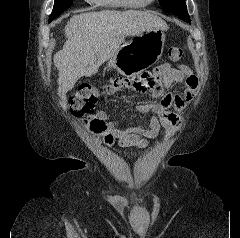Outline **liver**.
Here are the masks:
<instances>
[{
  "mask_svg": "<svg viewBox=\"0 0 240 238\" xmlns=\"http://www.w3.org/2000/svg\"><path fill=\"white\" fill-rule=\"evenodd\" d=\"M168 26L157 15L147 11H100L74 15L65 26L67 41L54 55L59 73L58 95L67 109L66 93L82 76L90 77L109 60L128 36Z\"/></svg>",
  "mask_w": 240,
  "mask_h": 238,
  "instance_id": "obj_1",
  "label": "liver"
}]
</instances>
